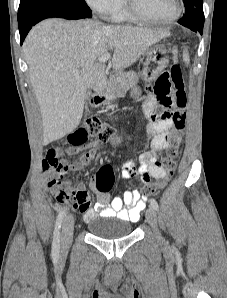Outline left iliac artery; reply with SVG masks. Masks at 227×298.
I'll return each mask as SVG.
<instances>
[{"label":"left iliac artery","instance_id":"left-iliac-artery-1","mask_svg":"<svg viewBox=\"0 0 227 298\" xmlns=\"http://www.w3.org/2000/svg\"><path fill=\"white\" fill-rule=\"evenodd\" d=\"M150 204H151V206H152L156 211L159 210L158 202H157L155 199L152 198V199L150 200Z\"/></svg>","mask_w":227,"mask_h":298}]
</instances>
